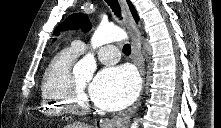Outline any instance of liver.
<instances>
[{
  "instance_id": "obj_1",
  "label": "liver",
  "mask_w": 221,
  "mask_h": 128,
  "mask_svg": "<svg viewBox=\"0 0 221 128\" xmlns=\"http://www.w3.org/2000/svg\"><path fill=\"white\" fill-rule=\"evenodd\" d=\"M66 128H91V127L84 123H73V124L67 125Z\"/></svg>"
}]
</instances>
